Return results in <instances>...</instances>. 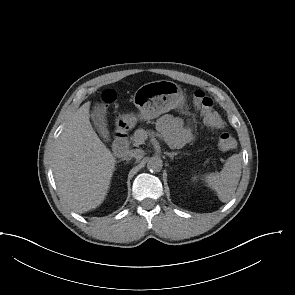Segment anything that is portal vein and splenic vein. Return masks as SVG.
Returning a JSON list of instances; mask_svg holds the SVG:
<instances>
[{"label":"portal vein and splenic vein","mask_w":295,"mask_h":295,"mask_svg":"<svg viewBox=\"0 0 295 295\" xmlns=\"http://www.w3.org/2000/svg\"><path fill=\"white\" fill-rule=\"evenodd\" d=\"M147 137H148V135H147V134H145V139H147Z\"/></svg>","instance_id":"1"}]
</instances>
